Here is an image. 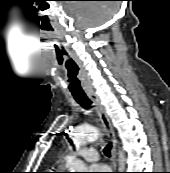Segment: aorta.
Listing matches in <instances>:
<instances>
[{
  "mask_svg": "<svg viewBox=\"0 0 170 173\" xmlns=\"http://www.w3.org/2000/svg\"><path fill=\"white\" fill-rule=\"evenodd\" d=\"M99 135V130L95 127H84L75 134L74 142L76 145H85L88 141L95 140ZM71 172H86L87 168L83 161L75 160L71 164ZM125 169V156L122 151L119 152V171Z\"/></svg>",
  "mask_w": 170,
  "mask_h": 173,
  "instance_id": "obj_1",
  "label": "aorta"
}]
</instances>
